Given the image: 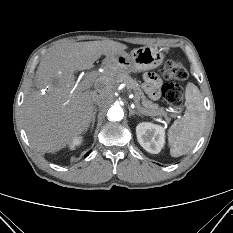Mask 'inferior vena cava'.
I'll return each mask as SVG.
<instances>
[{
    "label": "inferior vena cava",
    "instance_id": "1",
    "mask_svg": "<svg viewBox=\"0 0 233 233\" xmlns=\"http://www.w3.org/2000/svg\"><path fill=\"white\" fill-rule=\"evenodd\" d=\"M100 85V84H99ZM98 91H101L99 88L97 89ZM97 98V93H96V96L94 97V101L96 100Z\"/></svg>",
    "mask_w": 233,
    "mask_h": 233
}]
</instances>
